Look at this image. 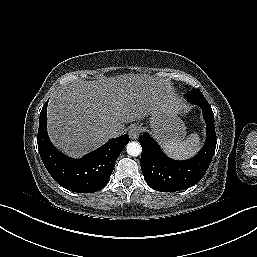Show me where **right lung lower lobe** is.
Returning <instances> with one entry per match:
<instances>
[{
  "label": "right lung lower lobe",
  "instance_id": "obj_1",
  "mask_svg": "<svg viewBox=\"0 0 257 257\" xmlns=\"http://www.w3.org/2000/svg\"><path fill=\"white\" fill-rule=\"evenodd\" d=\"M47 104L40 113L37 136L42 162L51 177L67 190L93 193L108 183L115 162L129 142L128 134L110 139L106 144L81 159H72L60 153L47 134Z\"/></svg>",
  "mask_w": 257,
  "mask_h": 257
}]
</instances>
